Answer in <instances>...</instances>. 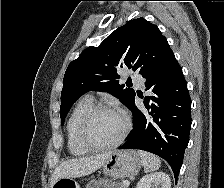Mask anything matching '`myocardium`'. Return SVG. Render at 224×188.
Segmentation results:
<instances>
[{"label": "myocardium", "mask_w": 224, "mask_h": 188, "mask_svg": "<svg viewBox=\"0 0 224 188\" xmlns=\"http://www.w3.org/2000/svg\"><path fill=\"white\" fill-rule=\"evenodd\" d=\"M102 111L118 112L123 116V119H124V128L121 134L115 141L108 144H98L94 142L89 136V127L93 118L99 112H102ZM130 129H131V120L128 114L124 110H122L121 108L113 104L99 103V104L93 105L83 116L78 128V137H79L80 143L89 150H93V151L107 150V149L118 147L125 140Z\"/></svg>", "instance_id": "obj_1"}]
</instances>
